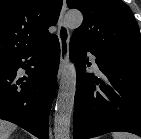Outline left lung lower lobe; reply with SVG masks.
<instances>
[{
	"label": "left lung lower lobe",
	"instance_id": "obj_1",
	"mask_svg": "<svg viewBox=\"0 0 141 139\" xmlns=\"http://www.w3.org/2000/svg\"><path fill=\"white\" fill-rule=\"evenodd\" d=\"M96 56L103 79L86 73V52ZM70 59L77 73L73 138L125 131L141 136V61L103 53L71 38Z\"/></svg>",
	"mask_w": 141,
	"mask_h": 139
}]
</instances>
